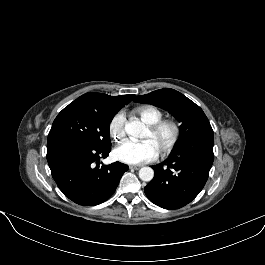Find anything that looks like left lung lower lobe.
<instances>
[{
	"label": "left lung lower lobe",
	"mask_w": 265,
	"mask_h": 265,
	"mask_svg": "<svg viewBox=\"0 0 265 265\" xmlns=\"http://www.w3.org/2000/svg\"><path fill=\"white\" fill-rule=\"evenodd\" d=\"M213 130L197 133L175 147L144 188L147 197L165 209H179L203 189L213 164Z\"/></svg>",
	"instance_id": "left-lung-lower-lobe-1"
}]
</instances>
